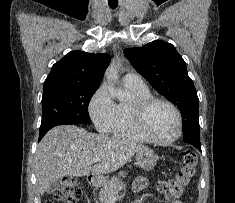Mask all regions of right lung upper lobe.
<instances>
[{"instance_id": "1", "label": "right lung upper lobe", "mask_w": 235, "mask_h": 203, "mask_svg": "<svg viewBox=\"0 0 235 203\" xmlns=\"http://www.w3.org/2000/svg\"><path fill=\"white\" fill-rule=\"evenodd\" d=\"M108 54L72 51L55 63L44 87L62 84L98 85L110 63Z\"/></svg>"}]
</instances>
